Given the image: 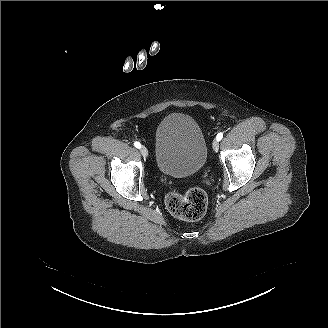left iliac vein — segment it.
<instances>
[{
	"mask_svg": "<svg viewBox=\"0 0 328 328\" xmlns=\"http://www.w3.org/2000/svg\"><path fill=\"white\" fill-rule=\"evenodd\" d=\"M212 148L215 150V151H218L219 149V141L217 139H215L212 143Z\"/></svg>",
	"mask_w": 328,
	"mask_h": 328,
	"instance_id": "4c4485c4",
	"label": "left iliac vein"
}]
</instances>
